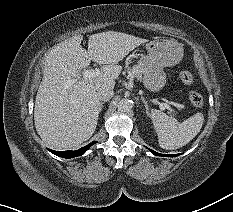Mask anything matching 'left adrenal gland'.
I'll return each instance as SVG.
<instances>
[{"label": "left adrenal gland", "instance_id": "a2214340", "mask_svg": "<svg viewBox=\"0 0 233 212\" xmlns=\"http://www.w3.org/2000/svg\"><path fill=\"white\" fill-rule=\"evenodd\" d=\"M141 100L144 103V106H145V109H146V114L148 115V110H149L148 102L145 100L144 97H142Z\"/></svg>", "mask_w": 233, "mask_h": 212}]
</instances>
